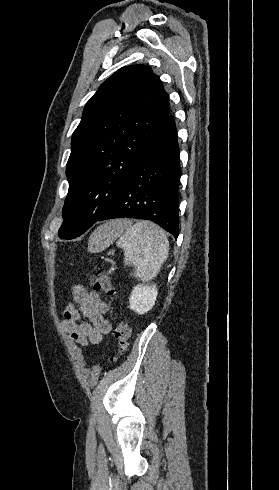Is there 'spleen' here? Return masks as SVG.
I'll use <instances>...</instances> for the list:
<instances>
[{"label":"spleen","mask_w":279,"mask_h":490,"mask_svg":"<svg viewBox=\"0 0 279 490\" xmlns=\"http://www.w3.org/2000/svg\"><path fill=\"white\" fill-rule=\"evenodd\" d=\"M117 238V246L124 250L125 266H135L133 276L142 282L154 280L168 258L169 242L163 230L148 220L134 226L129 220H111L95 230L88 250L92 254L102 252Z\"/></svg>","instance_id":"spleen-1"}]
</instances>
